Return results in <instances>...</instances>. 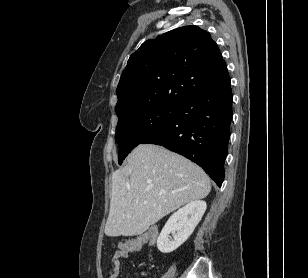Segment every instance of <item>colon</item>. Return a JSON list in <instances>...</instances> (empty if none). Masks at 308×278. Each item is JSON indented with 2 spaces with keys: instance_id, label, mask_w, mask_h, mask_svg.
<instances>
[{
  "instance_id": "colon-1",
  "label": "colon",
  "mask_w": 308,
  "mask_h": 278,
  "mask_svg": "<svg viewBox=\"0 0 308 278\" xmlns=\"http://www.w3.org/2000/svg\"><path fill=\"white\" fill-rule=\"evenodd\" d=\"M162 235L157 227H152L145 235H135L134 240H125L119 244L120 250H127L128 253H140L143 243L148 240L150 247L158 246V237Z\"/></svg>"
}]
</instances>
